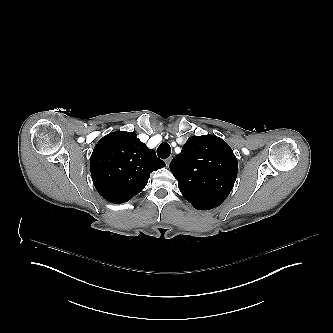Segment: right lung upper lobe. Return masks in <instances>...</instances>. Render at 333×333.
<instances>
[{
    "instance_id": "1",
    "label": "right lung upper lobe",
    "mask_w": 333,
    "mask_h": 333,
    "mask_svg": "<svg viewBox=\"0 0 333 333\" xmlns=\"http://www.w3.org/2000/svg\"><path fill=\"white\" fill-rule=\"evenodd\" d=\"M165 166L135 133L125 131L104 136L90 158L95 188L103 198L116 204L138 194L146 186L150 173Z\"/></svg>"
}]
</instances>
